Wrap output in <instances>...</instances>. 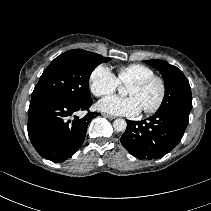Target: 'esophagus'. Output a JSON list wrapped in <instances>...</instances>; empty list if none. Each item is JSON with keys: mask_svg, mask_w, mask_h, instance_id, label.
<instances>
[{"mask_svg": "<svg viewBox=\"0 0 211 211\" xmlns=\"http://www.w3.org/2000/svg\"><path fill=\"white\" fill-rule=\"evenodd\" d=\"M103 116L108 118V119H114L115 118L113 115H109V114H103Z\"/></svg>", "mask_w": 211, "mask_h": 211, "instance_id": "esophagus-1", "label": "esophagus"}]
</instances>
